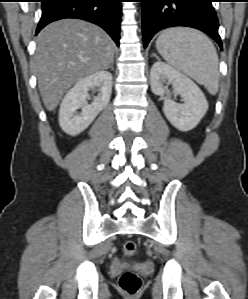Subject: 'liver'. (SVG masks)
<instances>
[{"label": "liver", "instance_id": "obj_1", "mask_svg": "<svg viewBox=\"0 0 248 299\" xmlns=\"http://www.w3.org/2000/svg\"><path fill=\"white\" fill-rule=\"evenodd\" d=\"M114 44L100 27L79 19L46 26L37 37L34 69L43 103L53 111L64 93L80 79L107 69Z\"/></svg>", "mask_w": 248, "mask_h": 299}]
</instances>
